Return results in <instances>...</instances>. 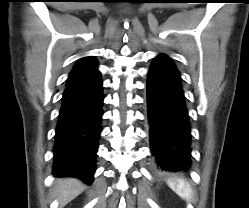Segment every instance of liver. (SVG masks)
Wrapping results in <instances>:
<instances>
[{"mask_svg":"<svg viewBox=\"0 0 249 208\" xmlns=\"http://www.w3.org/2000/svg\"><path fill=\"white\" fill-rule=\"evenodd\" d=\"M84 190L81 181L74 178L60 179L56 183L55 196L59 199L60 206L63 207Z\"/></svg>","mask_w":249,"mask_h":208,"instance_id":"6515ba94","label":"liver"}]
</instances>
